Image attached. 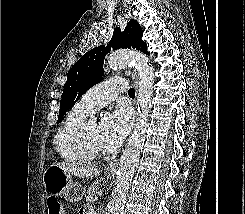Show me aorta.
<instances>
[{
	"label": "aorta",
	"instance_id": "1",
	"mask_svg": "<svg viewBox=\"0 0 245 214\" xmlns=\"http://www.w3.org/2000/svg\"><path fill=\"white\" fill-rule=\"evenodd\" d=\"M107 64L112 69L133 65L139 76L137 97V122L119 162L116 185L113 190L111 214H123L130 182L144 146L148 117L151 109L153 86L155 82L154 67L149 59L135 51H117L108 57Z\"/></svg>",
	"mask_w": 245,
	"mask_h": 214
}]
</instances>
